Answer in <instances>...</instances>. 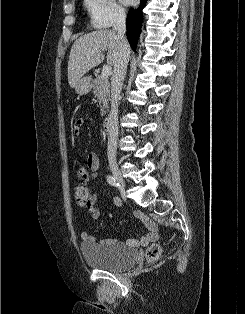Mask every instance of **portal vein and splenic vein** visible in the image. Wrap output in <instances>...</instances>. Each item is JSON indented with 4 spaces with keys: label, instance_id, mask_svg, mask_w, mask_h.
Returning <instances> with one entry per match:
<instances>
[{
    "label": "portal vein and splenic vein",
    "instance_id": "portal-vein-and-splenic-vein-1",
    "mask_svg": "<svg viewBox=\"0 0 245 314\" xmlns=\"http://www.w3.org/2000/svg\"><path fill=\"white\" fill-rule=\"evenodd\" d=\"M112 67L110 65H105L102 69L101 77L103 79H108V77L111 75Z\"/></svg>",
    "mask_w": 245,
    "mask_h": 314
}]
</instances>
